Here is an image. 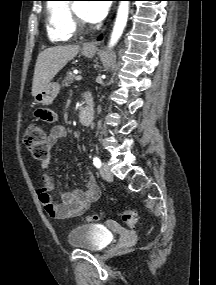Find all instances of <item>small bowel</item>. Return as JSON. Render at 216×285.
Wrapping results in <instances>:
<instances>
[{
	"instance_id": "1",
	"label": "small bowel",
	"mask_w": 216,
	"mask_h": 285,
	"mask_svg": "<svg viewBox=\"0 0 216 285\" xmlns=\"http://www.w3.org/2000/svg\"><path fill=\"white\" fill-rule=\"evenodd\" d=\"M37 117L42 120L52 121L54 116L47 110H39ZM67 136V129L63 125H56L52 128L48 145L53 146L57 141ZM50 157L42 161V168L47 169ZM53 190V180L50 174L43 175V186L37 191L38 198L45 208L47 214L54 219H69L83 214L88 205L100 197V189L95 178L89 174L84 189H74L60 192L61 202H55L51 192Z\"/></svg>"
}]
</instances>
